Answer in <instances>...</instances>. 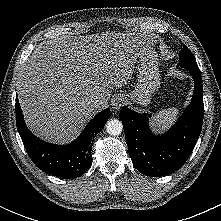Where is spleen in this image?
<instances>
[{
    "instance_id": "1",
    "label": "spleen",
    "mask_w": 221,
    "mask_h": 221,
    "mask_svg": "<svg viewBox=\"0 0 221 221\" xmlns=\"http://www.w3.org/2000/svg\"><path fill=\"white\" fill-rule=\"evenodd\" d=\"M178 113L179 110L174 107L159 111L155 116L154 124L162 127H167L169 124L175 121Z\"/></svg>"
}]
</instances>
